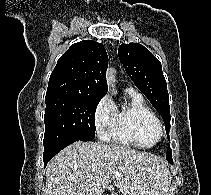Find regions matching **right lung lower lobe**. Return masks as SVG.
<instances>
[{"mask_svg":"<svg viewBox=\"0 0 211 195\" xmlns=\"http://www.w3.org/2000/svg\"><path fill=\"white\" fill-rule=\"evenodd\" d=\"M75 141H79V140H69V141H64L62 143L53 145L51 147H49L48 149H44V154H43V160H44V164L46 165V163L52 159L58 152H60L62 149H64L66 146L74 143Z\"/></svg>","mask_w":211,"mask_h":195,"instance_id":"98d812e1","label":"right lung lower lobe"}]
</instances>
